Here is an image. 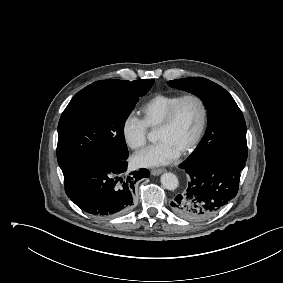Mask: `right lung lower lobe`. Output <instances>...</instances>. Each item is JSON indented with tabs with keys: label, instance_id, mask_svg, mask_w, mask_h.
<instances>
[{
	"label": "right lung lower lobe",
	"instance_id": "obj_1",
	"mask_svg": "<svg viewBox=\"0 0 283 283\" xmlns=\"http://www.w3.org/2000/svg\"><path fill=\"white\" fill-rule=\"evenodd\" d=\"M126 157L94 155L62 169L67 196L85 212L97 217L127 213L134 205L136 182L149 177L147 169L123 175Z\"/></svg>",
	"mask_w": 283,
	"mask_h": 283
}]
</instances>
